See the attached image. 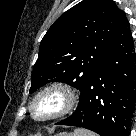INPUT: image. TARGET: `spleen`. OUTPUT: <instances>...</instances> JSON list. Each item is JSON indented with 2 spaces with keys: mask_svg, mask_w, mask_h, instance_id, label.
<instances>
[{
  "mask_svg": "<svg viewBox=\"0 0 136 136\" xmlns=\"http://www.w3.org/2000/svg\"><path fill=\"white\" fill-rule=\"evenodd\" d=\"M74 136H97V135L84 129H76L74 132Z\"/></svg>",
  "mask_w": 136,
  "mask_h": 136,
  "instance_id": "1",
  "label": "spleen"
}]
</instances>
